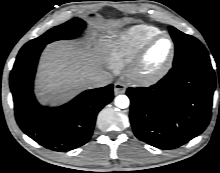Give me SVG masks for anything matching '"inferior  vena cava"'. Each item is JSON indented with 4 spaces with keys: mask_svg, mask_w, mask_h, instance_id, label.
Listing matches in <instances>:
<instances>
[{
    "mask_svg": "<svg viewBox=\"0 0 220 173\" xmlns=\"http://www.w3.org/2000/svg\"><path fill=\"white\" fill-rule=\"evenodd\" d=\"M112 81H113V78L110 73L106 71H101L100 73L91 77L89 81V88L104 87L112 83Z\"/></svg>",
    "mask_w": 220,
    "mask_h": 173,
    "instance_id": "602c4592",
    "label": "inferior vena cava"
}]
</instances>
